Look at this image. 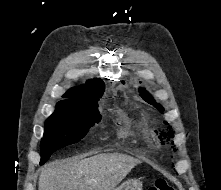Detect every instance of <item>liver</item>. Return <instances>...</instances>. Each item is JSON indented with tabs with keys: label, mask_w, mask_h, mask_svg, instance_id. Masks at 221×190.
Wrapping results in <instances>:
<instances>
[{
	"label": "liver",
	"mask_w": 221,
	"mask_h": 190,
	"mask_svg": "<svg viewBox=\"0 0 221 190\" xmlns=\"http://www.w3.org/2000/svg\"><path fill=\"white\" fill-rule=\"evenodd\" d=\"M138 164L122 153L56 160L41 168L38 190H113Z\"/></svg>",
	"instance_id": "6515ba94"
}]
</instances>
